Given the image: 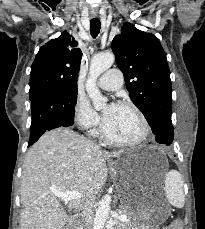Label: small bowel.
Returning a JSON list of instances; mask_svg holds the SVG:
<instances>
[{
    "instance_id": "c3829d8e",
    "label": "small bowel",
    "mask_w": 205,
    "mask_h": 229,
    "mask_svg": "<svg viewBox=\"0 0 205 229\" xmlns=\"http://www.w3.org/2000/svg\"><path fill=\"white\" fill-rule=\"evenodd\" d=\"M164 229H182V227L179 222H174L171 225L165 227Z\"/></svg>"
}]
</instances>
